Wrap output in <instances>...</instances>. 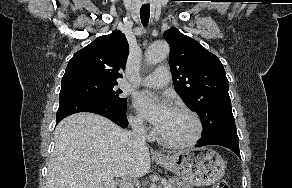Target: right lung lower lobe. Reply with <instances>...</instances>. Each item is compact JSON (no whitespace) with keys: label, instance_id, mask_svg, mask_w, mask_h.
I'll list each match as a JSON object with an SVG mask.
<instances>
[{"label":"right lung lower lobe","instance_id":"right-lung-lower-lobe-1","mask_svg":"<svg viewBox=\"0 0 292 188\" xmlns=\"http://www.w3.org/2000/svg\"><path fill=\"white\" fill-rule=\"evenodd\" d=\"M78 112H92L104 116L120 127L128 125L125 109L106 108L90 99L80 96H64L59 98V108L56 114V124L68 115Z\"/></svg>","mask_w":292,"mask_h":188}]
</instances>
